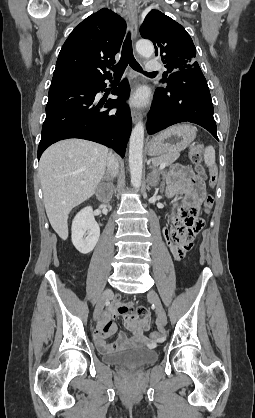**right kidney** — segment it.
I'll return each instance as SVG.
<instances>
[{"label":"right kidney","instance_id":"right-kidney-1","mask_svg":"<svg viewBox=\"0 0 255 418\" xmlns=\"http://www.w3.org/2000/svg\"><path fill=\"white\" fill-rule=\"evenodd\" d=\"M71 230L72 243L80 253L88 254L95 248L99 240L100 228L90 206L85 207L75 216Z\"/></svg>","mask_w":255,"mask_h":418}]
</instances>
